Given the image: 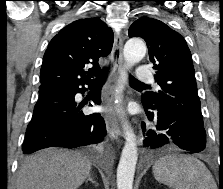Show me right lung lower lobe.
<instances>
[{
	"instance_id": "obj_1",
	"label": "right lung lower lobe",
	"mask_w": 223,
	"mask_h": 189,
	"mask_svg": "<svg viewBox=\"0 0 223 189\" xmlns=\"http://www.w3.org/2000/svg\"><path fill=\"white\" fill-rule=\"evenodd\" d=\"M92 84L87 85L91 88ZM81 86L39 90V99L22 145L23 153L47 147L77 148L97 144L104 139V119L99 114L79 112L82 105H78L74 97L78 92L87 90ZM92 100L96 104L101 103L100 90Z\"/></svg>"
}]
</instances>
